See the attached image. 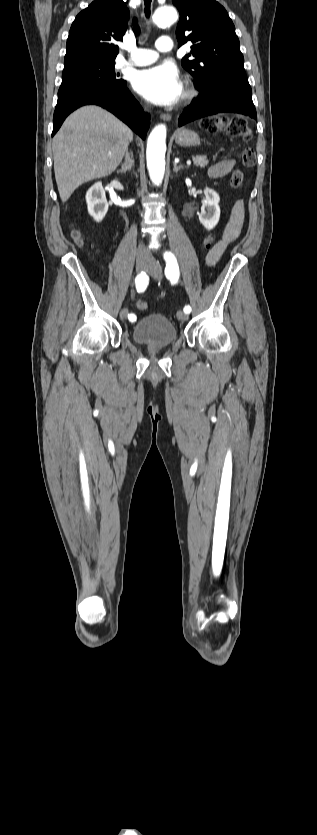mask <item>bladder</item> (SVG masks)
Masks as SVG:
<instances>
[{
  "mask_svg": "<svg viewBox=\"0 0 317 835\" xmlns=\"http://www.w3.org/2000/svg\"><path fill=\"white\" fill-rule=\"evenodd\" d=\"M177 330L172 321L160 314H150L136 322L132 338L141 345L163 346L176 341Z\"/></svg>",
  "mask_w": 317,
  "mask_h": 835,
  "instance_id": "bladder-1",
  "label": "bladder"
}]
</instances>
